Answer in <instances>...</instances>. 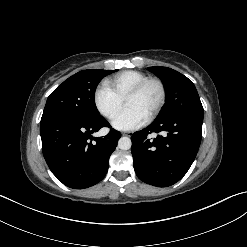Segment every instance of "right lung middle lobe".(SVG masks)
I'll return each mask as SVG.
<instances>
[{
  "label": "right lung middle lobe",
  "mask_w": 247,
  "mask_h": 247,
  "mask_svg": "<svg viewBox=\"0 0 247 247\" xmlns=\"http://www.w3.org/2000/svg\"><path fill=\"white\" fill-rule=\"evenodd\" d=\"M115 71L90 69L69 77L49 95L41 120L56 116L82 121L99 119L101 115L95 105V90L105 76Z\"/></svg>",
  "instance_id": "right-lung-middle-lobe-1"
}]
</instances>
